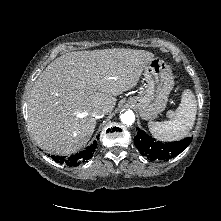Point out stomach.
Instances as JSON below:
<instances>
[{
    "mask_svg": "<svg viewBox=\"0 0 221 221\" xmlns=\"http://www.w3.org/2000/svg\"><path fill=\"white\" fill-rule=\"evenodd\" d=\"M146 89L128 103L135 107L141 118L149 120L166 108L168 96L174 86V77L169 66L159 58H153L143 70Z\"/></svg>",
    "mask_w": 221,
    "mask_h": 221,
    "instance_id": "stomach-1",
    "label": "stomach"
}]
</instances>
